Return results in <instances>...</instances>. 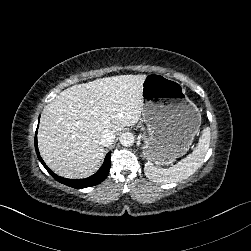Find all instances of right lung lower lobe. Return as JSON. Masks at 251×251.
Segmentation results:
<instances>
[{
  "label": "right lung lower lobe",
  "instance_id": "1",
  "mask_svg": "<svg viewBox=\"0 0 251 251\" xmlns=\"http://www.w3.org/2000/svg\"><path fill=\"white\" fill-rule=\"evenodd\" d=\"M37 134V131H36ZM35 150L36 153L38 155V158L40 160V162L43 164V166L46 168V170L50 173V175L53 176V178L55 180H57L58 182L65 184L67 186L73 187V188H86V187H91L94 185H97L99 183H101L102 181L105 180V178L108 175V172L110 170V156L111 154L108 153L106 155L105 161L102 165V167L97 171V173H95L94 175H92L91 177L85 178V179H80V180H70V179H66V178H62L60 176H57L56 174H54L44 163V161L42 160V158L40 157L39 151H38V146H37V136H35Z\"/></svg>",
  "mask_w": 251,
  "mask_h": 251
}]
</instances>
